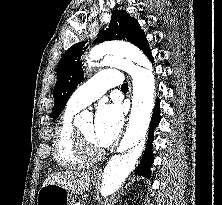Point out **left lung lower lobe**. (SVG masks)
Instances as JSON below:
<instances>
[{
	"label": "left lung lower lobe",
	"instance_id": "left-lung-lower-lobe-1",
	"mask_svg": "<svg viewBox=\"0 0 222 205\" xmlns=\"http://www.w3.org/2000/svg\"><path fill=\"white\" fill-rule=\"evenodd\" d=\"M145 55L153 62V57L151 54V50L148 45L147 39L144 40L143 44L139 47ZM160 122V101L157 99L154 111H153V116L150 124V129H149V136H148V141H147V146L145 149V152L142 156L141 162L136 170V175H142L145 177H150L151 176V171L150 168L153 164L154 161V155L152 153V143L154 140V129Z\"/></svg>",
	"mask_w": 222,
	"mask_h": 205
}]
</instances>
